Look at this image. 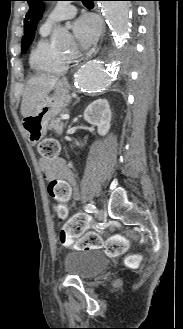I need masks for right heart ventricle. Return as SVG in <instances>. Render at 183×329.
I'll return each mask as SVG.
<instances>
[{
    "instance_id": "obj_1",
    "label": "right heart ventricle",
    "mask_w": 183,
    "mask_h": 329,
    "mask_svg": "<svg viewBox=\"0 0 183 329\" xmlns=\"http://www.w3.org/2000/svg\"><path fill=\"white\" fill-rule=\"evenodd\" d=\"M41 36L33 46L29 63L30 67L38 73L60 74L66 71L60 52L47 38L49 32L40 31Z\"/></svg>"
}]
</instances>
